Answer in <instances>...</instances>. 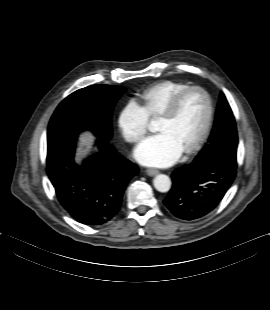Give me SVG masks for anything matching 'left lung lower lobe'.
Instances as JSON below:
<instances>
[{
    "mask_svg": "<svg viewBox=\"0 0 270 310\" xmlns=\"http://www.w3.org/2000/svg\"><path fill=\"white\" fill-rule=\"evenodd\" d=\"M236 168V163L194 160L172 174L173 185L164 204L180 219L201 218L222 200L236 176ZM207 181L212 182L201 187Z\"/></svg>",
    "mask_w": 270,
    "mask_h": 310,
    "instance_id": "1",
    "label": "left lung lower lobe"
}]
</instances>
